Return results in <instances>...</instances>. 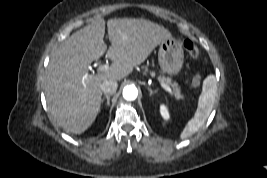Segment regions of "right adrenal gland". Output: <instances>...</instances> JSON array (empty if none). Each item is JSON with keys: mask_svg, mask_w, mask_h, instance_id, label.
I'll return each instance as SVG.
<instances>
[{"mask_svg": "<svg viewBox=\"0 0 267 178\" xmlns=\"http://www.w3.org/2000/svg\"><path fill=\"white\" fill-rule=\"evenodd\" d=\"M112 94H107L105 95L102 99H101V103L103 104L104 103V100L106 99L107 100V106L110 105V97H111Z\"/></svg>", "mask_w": 267, "mask_h": 178, "instance_id": "right-adrenal-gland-1", "label": "right adrenal gland"}]
</instances>
